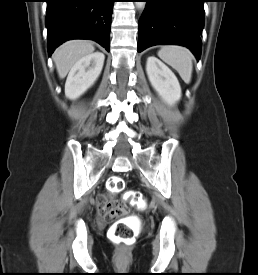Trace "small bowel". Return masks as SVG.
<instances>
[{
	"mask_svg": "<svg viewBox=\"0 0 258 275\" xmlns=\"http://www.w3.org/2000/svg\"><path fill=\"white\" fill-rule=\"evenodd\" d=\"M110 205H112V202H110L106 196L104 195L100 196L97 203V207L101 215H102V212Z\"/></svg>",
	"mask_w": 258,
	"mask_h": 275,
	"instance_id": "obj_1",
	"label": "small bowel"
}]
</instances>
